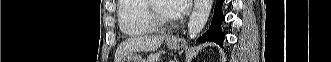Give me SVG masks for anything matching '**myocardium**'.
<instances>
[{
    "mask_svg": "<svg viewBox=\"0 0 331 62\" xmlns=\"http://www.w3.org/2000/svg\"><path fill=\"white\" fill-rule=\"evenodd\" d=\"M156 0L145 1V17L147 21L156 29H167L175 24V19H165L161 17L156 8Z\"/></svg>",
    "mask_w": 331,
    "mask_h": 62,
    "instance_id": "f54148a6",
    "label": "myocardium"
}]
</instances>
